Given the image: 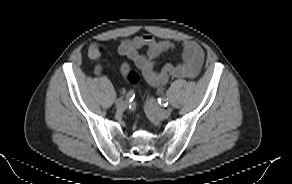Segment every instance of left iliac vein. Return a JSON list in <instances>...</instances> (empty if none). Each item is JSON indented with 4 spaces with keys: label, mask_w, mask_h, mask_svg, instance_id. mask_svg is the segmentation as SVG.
Masks as SVG:
<instances>
[{
    "label": "left iliac vein",
    "mask_w": 292,
    "mask_h": 184,
    "mask_svg": "<svg viewBox=\"0 0 292 184\" xmlns=\"http://www.w3.org/2000/svg\"><path fill=\"white\" fill-rule=\"evenodd\" d=\"M146 111L152 115V117L159 120L166 119L170 116L171 110L160 108L157 102L153 98H149L145 103Z\"/></svg>",
    "instance_id": "left-iliac-vein-1"
}]
</instances>
